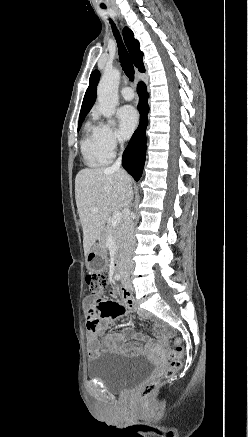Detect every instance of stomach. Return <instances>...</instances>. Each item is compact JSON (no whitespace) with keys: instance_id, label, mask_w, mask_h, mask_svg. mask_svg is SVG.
I'll use <instances>...</instances> for the list:
<instances>
[{"instance_id":"0dacf381","label":"stomach","mask_w":248,"mask_h":437,"mask_svg":"<svg viewBox=\"0 0 248 437\" xmlns=\"http://www.w3.org/2000/svg\"><path fill=\"white\" fill-rule=\"evenodd\" d=\"M88 272H107V259L102 249H93L86 255Z\"/></svg>"}]
</instances>
